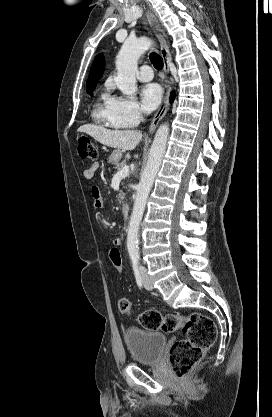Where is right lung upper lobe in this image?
<instances>
[{
  "label": "right lung upper lobe",
  "mask_w": 272,
  "mask_h": 417,
  "mask_svg": "<svg viewBox=\"0 0 272 417\" xmlns=\"http://www.w3.org/2000/svg\"><path fill=\"white\" fill-rule=\"evenodd\" d=\"M104 70V58L102 56V54H99L93 64H92V68L89 72V78L87 81V87L86 89H95L97 83V79L101 77V74Z\"/></svg>",
  "instance_id": "cb5924a9"
}]
</instances>
